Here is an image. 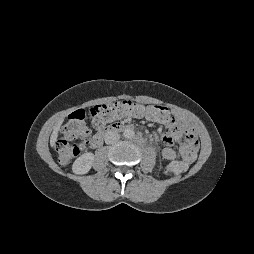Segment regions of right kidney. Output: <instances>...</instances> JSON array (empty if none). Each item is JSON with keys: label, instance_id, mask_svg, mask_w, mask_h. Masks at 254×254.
Listing matches in <instances>:
<instances>
[{"label": "right kidney", "instance_id": "obj_1", "mask_svg": "<svg viewBox=\"0 0 254 254\" xmlns=\"http://www.w3.org/2000/svg\"><path fill=\"white\" fill-rule=\"evenodd\" d=\"M94 161V154L84 153L80 157H78L73 163L72 170L75 174H86L92 167Z\"/></svg>", "mask_w": 254, "mask_h": 254}]
</instances>
